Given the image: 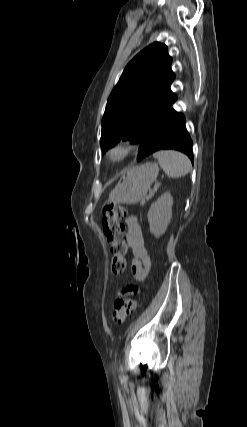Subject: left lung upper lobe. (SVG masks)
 <instances>
[{"label":"left lung upper lobe","mask_w":247,"mask_h":427,"mask_svg":"<svg viewBox=\"0 0 247 427\" xmlns=\"http://www.w3.org/2000/svg\"><path fill=\"white\" fill-rule=\"evenodd\" d=\"M167 47L153 43L124 69L111 92L102 118L101 148L118 141H141L148 126L176 100L170 90L174 80Z\"/></svg>","instance_id":"obj_1"}]
</instances>
